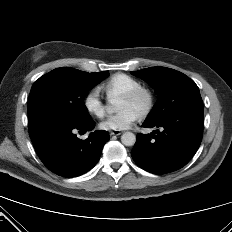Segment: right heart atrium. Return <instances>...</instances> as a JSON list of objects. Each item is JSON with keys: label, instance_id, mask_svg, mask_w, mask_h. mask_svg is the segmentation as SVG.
Returning <instances> with one entry per match:
<instances>
[{"label": "right heart atrium", "instance_id": "1", "mask_svg": "<svg viewBox=\"0 0 232 232\" xmlns=\"http://www.w3.org/2000/svg\"><path fill=\"white\" fill-rule=\"evenodd\" d=\"M83 104L86 111L91 115L97 118L104 116L105 104L97 89H91L85 94Z\"/></svg>", "mask_w": 232, "mask_h": 232}]
</instances>
